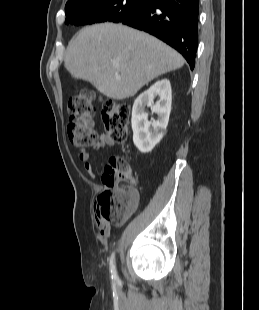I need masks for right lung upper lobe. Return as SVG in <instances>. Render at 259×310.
I'll return each mask as SVG.
<instances>
[{
	"mask_svg": "<svg viewBox=\"0 0 259 310\" xmlns=\"http://www.w3.org/2000/svg\"><path fill=\"white\" fill-rule=\"evenodd\" d=\"M98 1H101V0H68L65 8L68 9L70 7L83 6V5L92 4V3L98 2Z\"/></svg>",
	"mask_w": 259,
	"mask_h": 310,
	"instance_id": "obj_1",
	"label": "right lung upper lobe"
}]
</instances>
